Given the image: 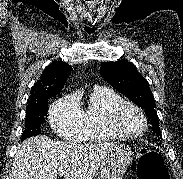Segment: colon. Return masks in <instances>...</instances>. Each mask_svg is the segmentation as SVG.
<instances>
[{"mask_svg": "<svg viewBox=\"0 0 183 179\" xmlns=\"http://www.w3.org/2000/svg\"><path fill=\"white\" fill-rule=\"evenodd\" d=\"M138 179H169L162 156L153 150L142 149L133 164Z\"/></svg>", "mask_w": 183, "mask_h": 179, "instance_id": "1", "label": "colon"}]
</instances>
